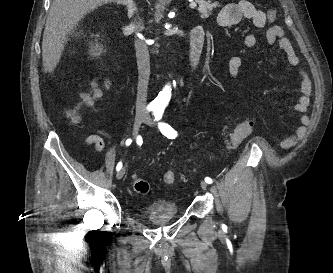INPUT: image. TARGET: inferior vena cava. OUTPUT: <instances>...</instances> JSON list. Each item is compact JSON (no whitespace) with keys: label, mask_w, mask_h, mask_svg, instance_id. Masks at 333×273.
<instances>
[{"label":"inferior vena cava","mask_w":333,"mask_h":273,"mask_svg":"<svg viewBox=\"0 0 333 273\" xmlns=\"http://www.w3.org/2000/svg\"><path fill=\"white\" fill-rule=\"evenodd\" d=\"M132 27L136 31H141L143 26L141 23L132 24ZM136 58L138 66V86H137V98H136V111L146 112L147 102V90L150 76V60L148 47L140 40L135 41Z\"/></svg>","instance_id":"inferior-vena-cava-1"}]
</instances>
